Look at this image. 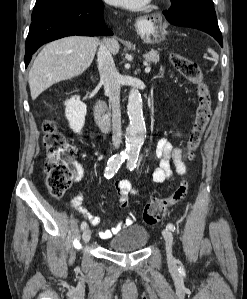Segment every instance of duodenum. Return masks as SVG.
Returning a JSON list of instances; mask_svg holds the SVG:
<instances>
[{"instance_id":"1","label":"duodenum","mask_w":247,"mask_h":299,"mask_svg":"<svg viewBox=\"0 0 247 299\" xmlns=\"http://www.w3.org/2000/svg\"><path fill=\"white\" fill-rule=\"evenodd\" d=\"M94 114L99 126L106 128L109 124L110 113L103 101L98 99L94 100Z\"/></svg>"}]
</instances>
